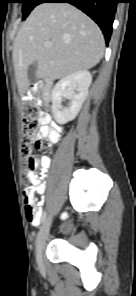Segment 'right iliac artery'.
<instances>
[{
  "instance_id": "1",
  "label": "right iliac artery",
  "mask_w": 136,
  "mask_h": 296,
  "mask_svg": "<svg viewBox=\"0 0 136 296\" xmlns=\"http://www.w3.org/2000/svg\"><path fill=\"white\" fill-rule=\"evenodd\" d=\"M47 215H48V212L47 211H43V218H42V221H41V224L42 225L47 221Z\"/></svg>"
}]
</instances>
